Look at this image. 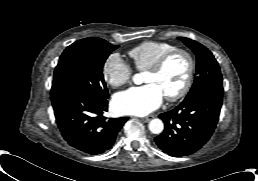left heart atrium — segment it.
Listing matches in <instances>:
<instances>
[{"label":"left heart atrium","mask_w":258,"mask_h":181,"mask_svg":"<svg viewBox=\"0 0 258 181\" xmlns=\"http://www.w3.org/2000/svg\"><path fill=\"white\" fill-rule=\"evenodd\" d=\"M163 97L161 89L153 83L131 87L115 95L114 109L120 114L143 116L156 110Z\"/></svg>","instance_id":"1"}]
</instances>
